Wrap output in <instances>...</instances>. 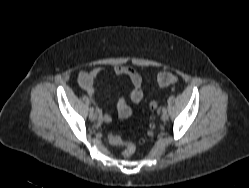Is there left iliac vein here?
<instances>
[{
    "instance_id": "obj_1",
    "label": "left iliac vein",
    "mask_w": 249,
    "mask_h": 188,
    "mask_svg": "<svg viewBox=\"0 0 249 188\" xmlns=\"http://www.w3.org/2000/svg\"><path fill=\"white\" fill-rule=\"evenodd\" d=\"M161 119H162V121H164V122L167 121V120L169 119V115L167 114V112L162 114Z\"/></svg>"
}]
</instances>
